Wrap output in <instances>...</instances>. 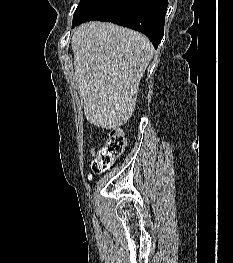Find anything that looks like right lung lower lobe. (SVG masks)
<instances>
[{"label":"right lung lower lobe","mask_w":233,"mask_h":263,"mask_svg":"<svg viewBox=\"0 0 233 263\" xmlns=\"http://www.w3.org/2000/svg\"><path fill=\"white\" fill-rule=\"evenodd\" d=\"M167 7V0H125L111 16L100 21L113 22L142 32L157 48L164 35ZM81 23H73V27Z\"/></svg>","instance_id":"1"}]
</instances>
